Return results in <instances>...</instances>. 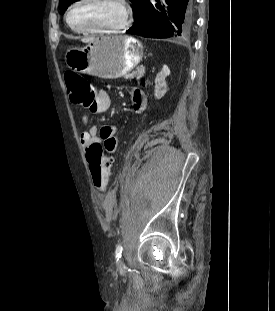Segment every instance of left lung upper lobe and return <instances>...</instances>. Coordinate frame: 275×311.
<instances>
[{
    "instance_id": "5c2ea615",
    "label": "left lung upper lobe",
    "mask_w": 275,
    "mask_h": 311,
    "mask_svg": "<svg viewBox=\"0 0 275 311\" xmlns=\"http://www.w3.org/2000/svg\"><path fill=\"white\" fill-rule=\"evenodd\" d=\"M76 1L78 0H59V9L61 11V14H63L66 11V9L69 7L70 4ZM130 1L133 4V14L135 18L138 12L140 11L145 0H130Z\"/></svg>"
}]
</instances>
